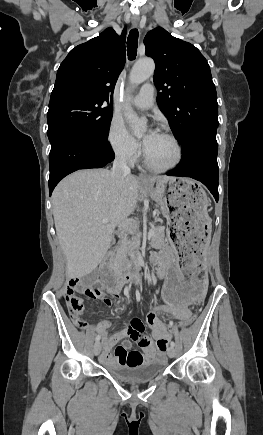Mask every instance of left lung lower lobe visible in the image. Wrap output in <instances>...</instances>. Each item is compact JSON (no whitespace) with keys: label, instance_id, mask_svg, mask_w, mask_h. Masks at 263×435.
I'll return each instance as SVG.
<instances>
[{"label":"left lung lower lobe","instance_id":"0a47b994","mask_svg":"<svg viewBox=\"0 0 263 435\" xmlns=\"http://www.w3.org/2000/svg\"><path fill=\"white\" fill-rule=\"evenodd\" d=\"M182 147L183 155L178 168L167 175L191 177L202 182L218 201L219 169L216 132L192 135L185 140Z\"/></svg>","mask_w":263,"mask_h":435}]
</instances>
